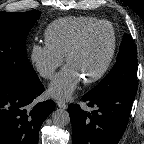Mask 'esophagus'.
<instances>
[{
    "label": "esophagus",
    "mask_w": 144,
    "mask_h": 144,
    "mask_svg": "<svg viewBox=\"0 0 144 144\" xmlns=\"http://www.w3.org/2000/svg\"><path fill=\"white\" fill-rule=\"evenodd\" d=\"M58 107L62 108V109H67V104L63 101H57L56 102Z\"/></svg>",
    "instance_id": "1"
}]
</instances>
